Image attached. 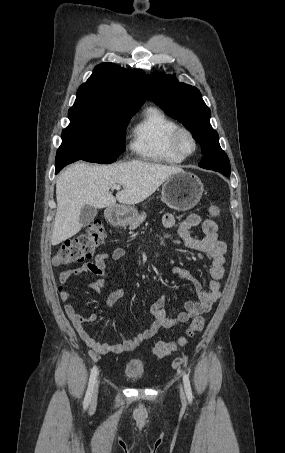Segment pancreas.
I'll return each mask as SVG.
<instances>
[{
	"label": "pancreas",
	"instance_id": "1",
	"mask_svg": "<svg viewBox=\"0 0 285 453\" xmlns=\"http://www.w3.org/2000/svg\"><path fill=\"white\" fill-rule=\"evenodd\" d=\"M146 219V213L136 214L129 223L130 229H136Z\"/></svg>",
	"mask_w": 285,
	"mask_h": 453
}]
</instances>
